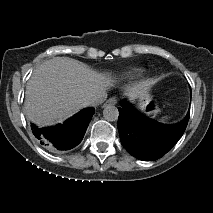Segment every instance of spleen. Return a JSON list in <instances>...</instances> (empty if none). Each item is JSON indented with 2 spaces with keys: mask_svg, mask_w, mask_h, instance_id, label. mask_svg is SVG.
Returning a JSON list of instances; mask_svg holds the SVG:
<instances>
[{
  "mask_svg": "<svg viewBox=\"0 0 213 213\" xmlns=\"http://www.w3.org/2000/svg\"><path fill=\"white\" fill-rule=\"evenodd\" d=\"M170 118V116H164L163 118H162V121H165V120H167V119H169Z\"/></svg>",
  "mask_w": 213,
  "mask_h": 213,
  "instance_id": "3e777b00",
  "label": "spleen"
}]
</instances>
